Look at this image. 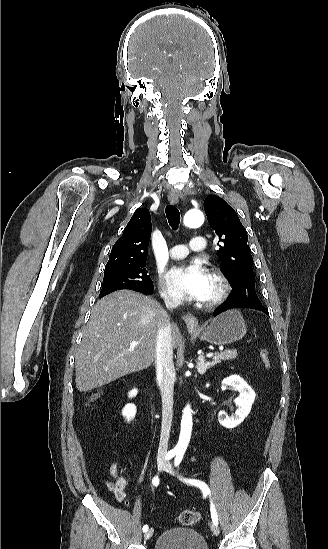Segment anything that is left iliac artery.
Returning a JSON list of instances; mask_svg holds the SVG:
<instances>
[{"label":"left iliac artery","mask_w":328,"mask_h":549,"mask_svg":"<svg viewBox=\"0 0 328 549\" xmlns=\"http://www.w3.org/2000/svg\"><path fill=\"white\" fill-rule=\"evenodd\" d=\"M182 458H183V456L176 455L175 460H174V465L179 466V464L182 461ZM188 482L195 485V486H198L203 491V493L211 495L210 489H209V487L207 486V484L205 482L199 481V480H192V479H189ZM210 510H211L212 521H213L214 524L217 525L218 524V516H217L215 506H214L212 501H211Z\"/></svg>","instance_id":"1"}]
</instances>
